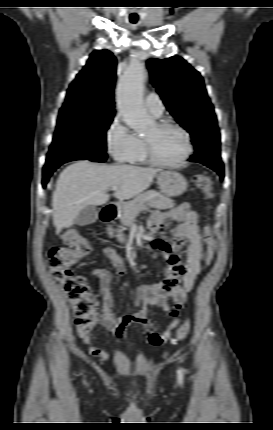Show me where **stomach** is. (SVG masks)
Returning a JSON list of instances; mask_svg holds the SVG:
<instances>
[{
	"label": "stomach",
	"mask_w": 273,
	"mask_h": 430,
	"mask_svg": "<svg viewBox=\"0 0 273 430\" xmlns=\"http://www.w3.org/2000/svg\"><path fill=\"white\" fill-rule=\"evenodd\" d=\"M157 184L161 193L167 197L180 196L187 189L185 178L175 171H161L157 176Z\"/></svg>",
	"instance_id": "stomach-1"
}]
</instances>
